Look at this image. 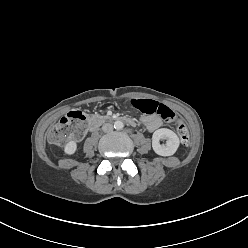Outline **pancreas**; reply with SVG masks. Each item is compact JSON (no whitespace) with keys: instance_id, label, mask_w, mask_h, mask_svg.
I'll list each match as a JSON object with an SVG mask.
<instances>
[{"instance_id":"1","label":"pancreas","mask_w":248,"mask_h":248,"mask_svg":"<svg viewBox=\"0 0 248 248\" xmlns=\"http://www.w3.org/2000/svg\"><path fill=\"white\" fill-rule=\"evenodd\" d=\"M98 118L101 119V120H106V119H108L107 116H99Z\"/></svg>"}]
</instances>
